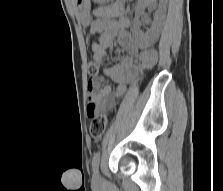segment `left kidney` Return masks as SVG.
Segmentation results:
<instances>
[{"instance_id": "5707ae66", "label": "left kidney", "mask_w": 223, "mask_h": 191, "mask_svg": "<svg viewBox=\"0 0 223 191\" xmlns=\"http://www.w3.org/2000/svg\"><path fill=\"white\" fill-rule=\"evenodd\" d=\"M166 0H140L137 4L136 12L139 13L146 7L154 9V20L151 27L147 31H142L139 27L138 22L134 24V35L144 45H150L154 43L159 37V33L162 26V21L165 15Z\"/></svg>"}]
</instances>
